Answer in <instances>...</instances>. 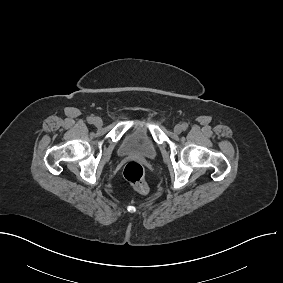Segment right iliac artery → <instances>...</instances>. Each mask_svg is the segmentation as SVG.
I'll return each mask as SVG.
<instances>
[{
    "label": "right iliac artery",
    "mask_w": 283,
    "mask_h": 283,
    "mask_svg": "<svg viewBox=\"0 0 283 283\" xmlns=\"http://www.w3.org/2000/svg\"><path fill=\"white\" fill-rule=\"evenodd\" d=\"M87 120H88V122H89L90 124H92V123H93V121H94V118L90 116V117H88V119H87Z\"/></svg>",
    "instance_id": "right-iliac-artery-1"
}]
</instances>
